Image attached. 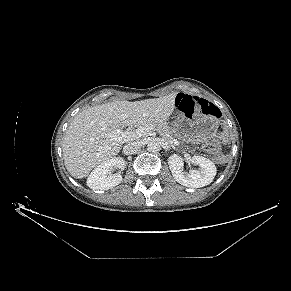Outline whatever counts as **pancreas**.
Here are the masks:
<instances>
[{
  "label": "pancreas",
  "mask_w": 291,
  "mask_h": 291,
  "mask_svg": "<svg viewBox=\"0 0 291 291\" xmlns=\"http://www.w3.org/2000/svg\"><path fill=\"white\" fill-rule=\"evenodd\" d=\"M152 126L154 130H156L164 139L169 140L172 138V129L169 127L168 123L163 120L153 121V122H146L141 126Z\"/></svg>",
  "instance_id": "cf45deb5"
}]
</instances>
